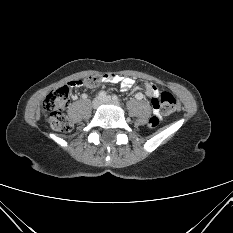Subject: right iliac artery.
<instances>
[{
	"instance_id": "right-iliac-artery-1",
	"label": "right iliac artery",
	"mask_w": 233,
	"mask_h": 233,
	"mask_svg": "<svg viewBox=\"0 0 233 233\" xmlns=\"http://www.w3.org/2000/svg\"><path fill=\"white\" fill-rule=\"evenodd\" d=\"M98 95H99L100 98H104V97H106L107 93L105 91H100L98 93Z\"/></svg>"
}]
</instances>
